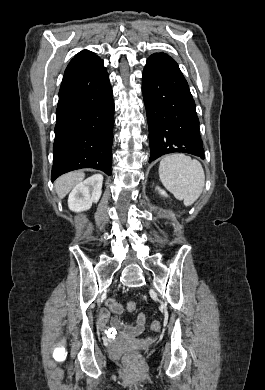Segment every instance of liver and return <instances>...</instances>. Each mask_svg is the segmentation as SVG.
<instances>
[{"mask_svg":"<svg viewBox=\"0 0 265 390\" xmlns=\"http://www.w3.org/2000/svg\"><path fill=\"white\" fill-rule=\"evenodd\" d=\"M84 177L85 174L81 171L70 172L59 177L55 182V189L59 198H64Z\"/></svg>","mask_w":265,"mask_h":390,"instance_id":"1","label":"liver"}]
</instances>
